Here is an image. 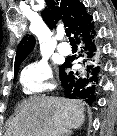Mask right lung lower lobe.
Instances as JSON below:
<instances>
[{"label":"right lung lower lobe","mask_w":117,"mask_h":136,"mask_svg":"<svg viewBox=\"0 0 117 136\" xmlns=\"http://www.w3.org/2000/svg\"><path fill=\"white\" fill-rule=\"evenodd\" d=\"M94 22H92V17L89 20L88 24L81 29V38L85 43L83 47L84 51L87 54L88 60L94 62L92 59L95 55L96 47L94 42L92 41L93 35H90V30L92 29ZM92 34H94V30H92ZM78 43L80 42L77 39ZM83 51V50H82ZM76 58L70 57L65 63L60 67L59 76L61 85L65 90V97L70 99H83L89 104H93L96 100L95 98V87L99 82L100 67L95 64H91L87 66V74H82L76 72L66 73L65 68L71 67V62H73Z\"/></svg>","instance_id":"1"}]
</instances>
